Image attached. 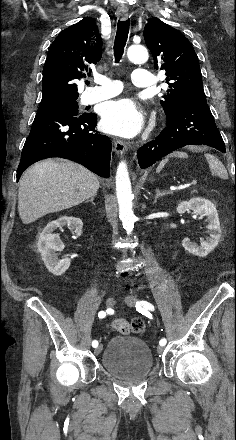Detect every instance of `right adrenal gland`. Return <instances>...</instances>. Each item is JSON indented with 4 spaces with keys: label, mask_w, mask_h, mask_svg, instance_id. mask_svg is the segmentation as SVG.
I'll return each instance as SVG.
<instances>
[{
    "label": "right adrenal gland",
    "mask_w": 236,
    "mask_h": 440,
    "mask_svg": "<svg viewBox=\"0 0 236 440\" xmlns=\"http://www.w3.org/2000/svg\"><path fill=\"white\" fill-rule=\"evenodd\" d=\"M94 197H95V195H93V196L91 197V199H90V200H87L85 203L91 202V203L94 205V204H95V203H94Z\"/></svg>",
    "instance_id": "2a0ac1e0"
}]
</instances>
